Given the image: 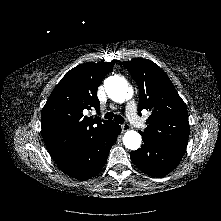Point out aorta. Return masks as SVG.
Returning a JSON list of instances; mask_svg holds the SVG:
<instances>
[{
	"label": "aorta",
	"mask_w": 221,
	"mask_h": 221,
	"mask_svg": "<svg viewBox=\"0 0 221 221\" xmlns=\"http://www.w3.org/2000/svg\"><path fill=\"white\" fill-rule=\"evenodd\" d=\"M108 97L117 103H123L129 95L130 88L127 81L118 75L108 77L104 81ZM141 135L134 130H128L123 136V144L130 150H137L141 145Z\"/></svg>",
	"instance_id": "1"
}]
</instances>
